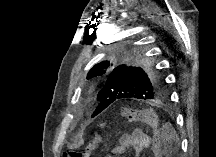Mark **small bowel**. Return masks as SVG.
Returning <instances> with one entry per match:
<instances>
[{"mask_svg": "<svg viewBox=\"0 0 216 157\" xmlns=\"http://www.w3.org/2000/svg\"><path fill=\"white\" fill-rule=\"evenodd\" d=\"M150 143L151 138L147 133L141 130H134L120 137L119 144L114 148L113 153L121 154L131 150L135 156H139L150 147Z\"/></svg>", "mask_w": 216, "mask_h": 157, "instance_id": "obj_1", "label": "small bowel"}]
</instances>
